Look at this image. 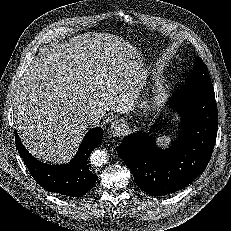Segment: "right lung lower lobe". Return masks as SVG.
Segmentation results:
<instances>
[{
    "instance_id": "98d812e1",
    "label": "right lung lower lobe",
    "mask_w": 231,
    "mask_h": 231,
    "mask_svg": "<svg viewBox=\"0 0 231 231\" xmlns=\"http://www.w3.org/2000/svg\"><path fill=\"white\" fill-rule=\"evenodd\" d=\"M102 139L101 128L90 129L69 164L48 165L33 157L15 132L18 152L35 181L48 191L71 197H81L95 185L97 175L87 167V159Z\"/></svg>"
}]
</instances>
